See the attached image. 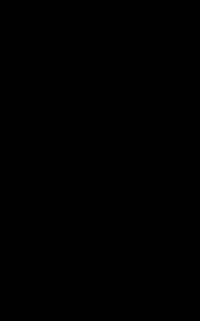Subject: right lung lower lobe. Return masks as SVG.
I'll use <instances>...</instances> for the list:
<instances>
[{"instance_id":"obj_1","label":"right lung lower lobe","mask_w":200,"mask_h":321,"mask_svg":"<svg viewBox=\"0 0 200 321\" xmlns=\"http://www.w3.org/2000/svg\"><path fill=\"white\" fill-rule=\"evenodd\" d=\"M24 214L42 230L60 232L79 217L84 194L61 183L31 177L17 194Z\"/></svg>"}]
</instances>
